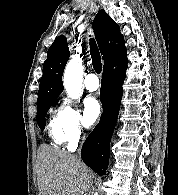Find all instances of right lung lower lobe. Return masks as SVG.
<instances>
[{"mask_svg": "<svg viewBox=\"0 0 178 195\" xmlns=\"http://www.w3.org/2000/svg\"><path fill=\"white\" fill-rule=\"evenodd\" d=\"M126 69L127 64L103 72L100 89L103 114L82 147V160L98 175L105 174L108 167L110 139L118 118Z\"/></svg>", "mask_w": 178, "mask_h": 195, "instance_id": "obj_1", "label": "right lung lower lobe"}]
</instances>
